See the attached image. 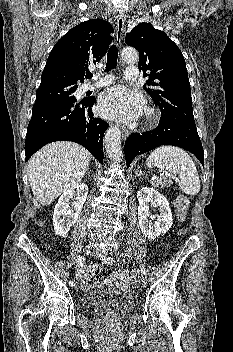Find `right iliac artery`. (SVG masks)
<instances>
[{
	"mask_svg": "<svg viewBox=\"0 0 233 352\" xmlns=\"http://www.w3.org/2000/svg\"><path fill=\"white\" fill-rule=\"evenodd\" d=\"M85 261V258H84V256H78L77 258H76V262L79 264V265H83V262ZM69 285L70 286H74L75 285V283H74V281H70L69 282Z\"/></svg>",
	"mask_w": 233,
	"mask_h": 352,
	"instance_id": "82829eb1",
	"label": "right iliac artery"
}]
</instances>
